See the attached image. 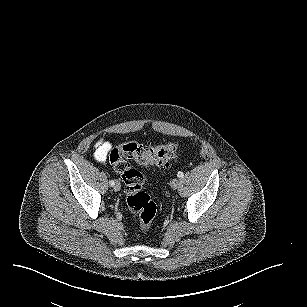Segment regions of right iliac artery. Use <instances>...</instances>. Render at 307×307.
Listing matches in <instances>:
<instances>
[{
    "instance_id": "1",
    "label": "right iliac artery",
    "mask_w": 307,
    "mask_h": 307,
    "mask_svg": "<svg viewBox=\"0 0 307 307\" xmlns=\"http://www.w3.org/2000/svg\"><path fill=\"white\" fill-rule=\"evenodd\" d=\"M109 184H110V186H114V185H115V182H114L113 180H110V181H109Z\"/></svg>"
}]
</instances>
